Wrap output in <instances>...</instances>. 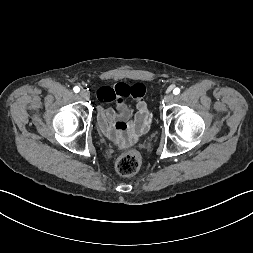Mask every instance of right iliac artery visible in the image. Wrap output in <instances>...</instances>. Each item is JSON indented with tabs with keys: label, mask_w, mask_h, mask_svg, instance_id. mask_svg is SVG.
Returning <instances> with one entry per match:
<instances>
[{
	"label": "right iliac artery",
	"mask_w": 253,
	"mask_h": 253,
	"mask_svg": "<svg viewBox=\"0 0 253 253\" xmlns=\"http://www.w3.org/2000/svg\"><path fill=\"white\" fill-rule=\"evenodd\" d=\"M73 90H74L75 93H78V92L80 91V88H79L78 86H75V87L73 88Z\"/></svg>",
	"instance_id": "right-iliac-artery-1"
}]
</instances>
